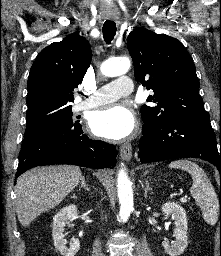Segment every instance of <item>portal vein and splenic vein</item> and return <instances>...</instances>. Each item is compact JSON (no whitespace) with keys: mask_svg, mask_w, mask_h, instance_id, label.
<instances>
[{"mask_svg":"<svg viewBox=\"0 0 221 256\" xmlns=\"http://www.w3.org/2000/svg\"><path fill=\"white\" fill-rule=\"evenodd\" d=\"M180 201H181V202H187V201H188V198H187V196H185V197H182V198L180 199Z\"/></svg>","mask_w":221,"mask_h":256,"instance_id":"18ae733b","label":"portal vein and splenic vein"}]
</instances>
